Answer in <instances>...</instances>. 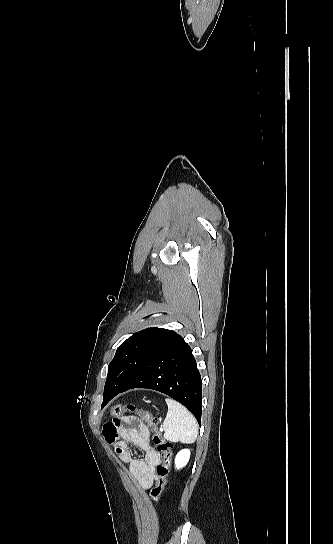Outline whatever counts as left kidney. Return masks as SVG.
<instances>
[{"label":"left kidney","instance_id":"5707ae66","mask_svg":"<svg viewBox=\"0 0 333 544\" xmlns=\"http://www.w3.org/2000/svg\"><path fill=\"white\" fill-rule=\"evenodd\" d=\"M190 459V450L189 449H182L180 450L175 457V468L180 469L184 467Z\"/></svg>","mask_w":333,"mask_h":544}]
</instances>
